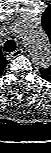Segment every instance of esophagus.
Returning <instances> with one entry per match:
<instances>
[{"label":"esophagus","mask_w":51,"mask_h":153,"mask_svg":"<svg viewBox=\"0 0 51 153\" xmlns=\"http://www.w3.org/2000/svg\"><path fill=\"white\" fill-rule=\"evenodd\" d=\"M21 54H23V50L22 49H17L11 55H12V57H16V56H19Z\"/></svg>","instance_id":"obj_1"}]
</instances>
